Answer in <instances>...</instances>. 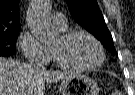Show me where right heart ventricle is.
I'll return each instance as SVG.
<instances>
[{
    "label": "right heart ventricle",
    "mask_w": 135,
    "mask_h": 95,
    "mask_svg": "<svg viewBox=\"0 0 135 95\" xmlns=\"http://www.w3.org/2000/svg\"><path fill=\"white\" fill-rule=\"evenodd\" d=\"M57 28V27H56ZM60 31H62V32H64V31H66V29H67V27H65V28H58Z\"/></svg>",
    "instance_id": "obj_1"
}]
</instances>
